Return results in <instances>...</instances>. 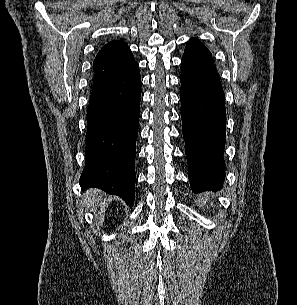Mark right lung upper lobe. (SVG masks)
Wrapping results in <instances>:
<instances>
[{"mask_svg":"<svg viewBox=\"0 0 297 305\" xmlns=\"http://www.w3.org/2000/svg\"><path fill=\"white\" fill-rule=\"evenodd\" d=\"M135 63L129 46L122 40H113L104 45L94 63L93 85L111 79Z\"/></svg>","mask_w":297,"mask_h":305,"instance_id":"right-lung-upper-lobe-1","label":"right lung upper lobe"}]
</instances>
